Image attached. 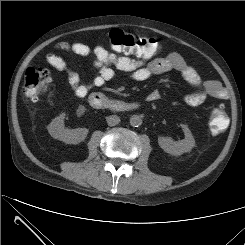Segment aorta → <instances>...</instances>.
Segmentation results:
<instances>
[{
	"label": "aorta",
	"instance_id": "762f6f07",
	"mask_svg": "<svg viewBox=\"0 0 245 245\" xmlns=\"http://www.w3.org/2000/svg\"><path fill=\"white\" fill-rule=\"evenodd\" d=\"M142 124V118L138 115H133L130 118V125L133 127H138Z\"/></svg>",
	"mask_w": 245,
	"mask_h": 245
}]
</instances>
